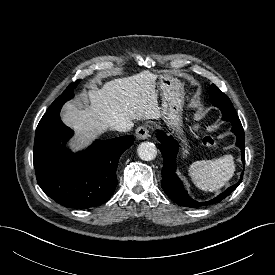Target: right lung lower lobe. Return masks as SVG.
Segmentation results:
<instances>
[{
  "label": "right lung lower lobe",
  "mask_w": 275,
  "mask_h": 275,
  "mask_svg": "<svg viewBox=\"0 0 275 275\" xmlns=\"http://www.w3.org/2000/svg\"><path fill=\"white\" fill-rule=\"evenodd\" d=\"M60 109L47 111L36 128L33 162L37 182L50 198L65 207L99 206L113 195L119 158L133 144L134 137L96 140L85 151L72 153L58 140L73 135L61 121Z\"/></svg>",
  "instance_id": "1"
}]
</instances>
